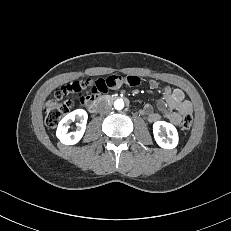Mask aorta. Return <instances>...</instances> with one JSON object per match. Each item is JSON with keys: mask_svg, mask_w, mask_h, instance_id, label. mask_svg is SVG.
<instances>
[{"mask_svg": "<svg viewBox=\"0 0 231 231\" xmlns=\"http://www.w3.org/2000/svg\"><path fill=\"white\" fill-rule=\"evenodd\" d=\"M114 108L116 110H121L124 108V101L122 99H117L114 102Z\"/></svg>", "mask_w": 231, "mask_h": 231, "instance_id": "aorta-1", "label": "aorta"}]
</instances>
